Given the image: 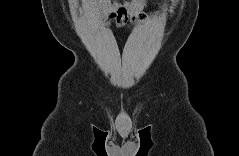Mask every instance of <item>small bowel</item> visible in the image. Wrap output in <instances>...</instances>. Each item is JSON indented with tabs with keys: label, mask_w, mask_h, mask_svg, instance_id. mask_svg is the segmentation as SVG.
Instances as JSON below:
<instances>
[{
	"label": "small bowel",
	"mask_w": 239,
	"mask_h": 156,
	"mask_svg": "<svg viewBox=\"0 0 239 156\" xmlns=\"http://www.w3.org/2000/svg\"><path fill=\"white\" fill-rule=\"evenodd\" d=\"M80 6L89 14L103 13L112 16L117 28H122L128 22L138 25L148 21V16L145 12L147 2L144 0L89 1L81 2Z\"/></svg>",
	"instance_id": "c3829d8e"
}]
</instances>
